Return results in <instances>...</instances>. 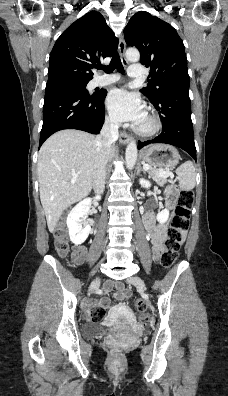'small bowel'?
I'll use <instances>...</instances> for the list:
<instances>
[{
	"label": "small bowel",
	"mask_w": 228,
	"mask_h": 396,
	"mask_svg": "<svg viewBox=\"0 0 228 396\" xmlns=\"http://www.w3.org/2000/svg\"><path fill=\"white\" fill-rule=\"evenodd\" d=\"M146 219L149 220H153V216H149ZM145 219V220H146ZM155 223V222H154ZM166 230H167V225L166 224H162L158 226V229L154 232V235L151 237L152 238V242H153V253L155 255H159L162 251H163V240L166 236ZM185 231H183L182 236L184 235ZM85 254V248L81 245L77 246L73 255V259L75 262H79L82 260L83 256ZM113 287V284L111 282H107L104 286V290L106 292L110 291ZM115 288H116V298L119 300H125L127 298L130 297L131 292L129 290L124 289V286L121 283H117L115 284ZM97 304V302L95 300H93L92 302H90L87 305V313H90V310L93 306H95ZM100 304L104 307V308H109L111 303L108 297H103L100 300ZM127 310V308L123 305H120L116 308V310Z\"/></svg>",
	"instance_id": "1"
}]
</instances>
